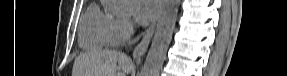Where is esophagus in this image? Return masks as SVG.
Returning a JSON list of instances; mask_svg holds the SVG:
<instances>
[{
    "mask_svg": "<svg viewBox=\"0 0 287 76\" xmlns=\"http://www.w3.org/2000/svg\"><path fill=\"white\" fill-rule=\"evenodd\" d=\"M160 8L158 10L157 15L155 16L154 20L152 21L150 27L144 33L142 40L140 43L135 47L133 51V57L136 59H140L147 51L151 38L156 28L157 20L159 18Z\"/></svg>",
    "mask_w": 287,
    "mask_h": 76,
    "instance_id": "1",
    "label": "esophagus"
}]
</instances>
